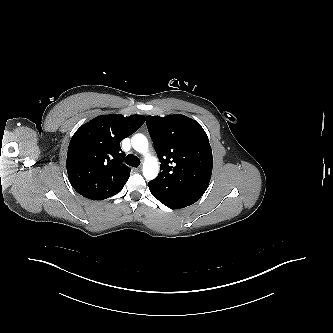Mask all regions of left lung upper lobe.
<instances>
[{
    "label": "left lung upper lobe",
    "instance_id": "obj_1",
    "mask_svg": "<svg viewBox=\"0 0 333 333\" xmlns=\"http://www.w3.org/2000/svg\"><path fill=\"white\" fill-rule=\"evenodd\" d=\"M161 171L149 184L162 194L179 191L202 196L212 174L213 158L209 139L201 125L181 114L147 116Z\"/></svg>",
    "mask_w": 333,
    "mask_h": 333
}]
</instances>
